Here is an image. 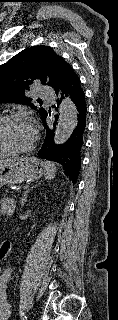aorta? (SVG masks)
Wrapping results in <instances>:
<instances>
[{
  "label": "aorta",
  "instance_id": "1",
  "mask_svg": "<svg viewBox=\"0 0 118 320\" xmlns=\"http://www.w3.org/2000/svg\"><path fill=\"white\" fill-rule=\"evenodd\" d=\"M77 125V108L71 99L65 98L60 105L59 121L54 135V143L64 144Z\"/></svg>",
  "mask_w": 118,
  "mask_h": 320
}]
</instances>
